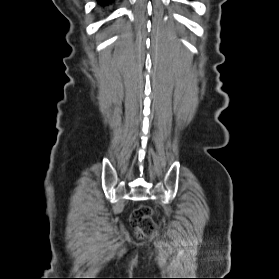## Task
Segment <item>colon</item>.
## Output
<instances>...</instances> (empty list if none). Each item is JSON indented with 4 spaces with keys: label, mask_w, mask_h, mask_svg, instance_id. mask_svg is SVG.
Here are the masks:
<instances>
[{
    "label": "colon",
    "mask_w": 279,
    "mask_h": 279,
    "mask_svg": "<svg viewBox=\"0 0 279 279\" xmlns=\"http://www.w3.org/2000/svg\"><path fill=\"white\" fill-rule=\"evenodd\" d=\"M131 222L138 237H147L153 234L156 223L153 219V210L149 206H141L133 211Z\"/></svg>",
    "instance_id": "obj_1"
}]
</instances>
